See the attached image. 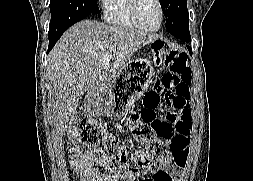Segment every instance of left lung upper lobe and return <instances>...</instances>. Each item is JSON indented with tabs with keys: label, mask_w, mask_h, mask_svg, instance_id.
<instances>
[{
	"label": "left lung upper lobe",
	"mask_w": 253,
	"mask_h": 181,
	"mask_svg": "<svg viewBox=\"0 0 253 181\" xmlns=\"http://www.w3.org/2000/svg\"><path fill=\"white\" fill-rule=\"evenodd\" d=\"M166 16L167 30L180 39L190 41L187 0H160Z\"/></svg>",
	"instance_id": "1"
}]
</instances>
